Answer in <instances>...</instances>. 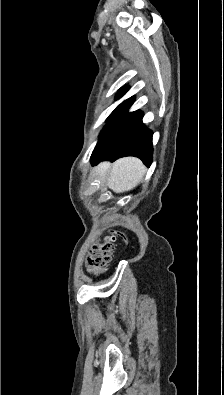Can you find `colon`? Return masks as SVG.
I'll return each instance as SVG.
<instances>
[{
    "instance_id": "1",
    "label": "colon",
    "mask_w": 224,
    "mask_h": 395,
    "mask_svg": "<svg viewBox=\"0 0 224 395\" xmlns=\"http://www.w3.org/2000/svg\"><path fill=\"white\" fill-rule=\"evenodd\" d=\"M114 237H107L97 242L86 259L88 270L94 274L102 272L111 262L114 251Z\"/></svg>"
}]
</instances>
